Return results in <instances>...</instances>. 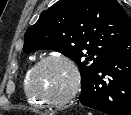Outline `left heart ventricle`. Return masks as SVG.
I'll use <instances>...</instances> for the list:
<instances>
[{
	"mask_svg": "<svg viewBox=\"0 0 131 115\" xmlns=\"http://www.w3.org/2000/svg\"><path fill=\"white\" fill-rule=\"evenodd\" d=\"M72 72L60 61H50L37 71L34 85L40 94L56 99L62 97L71 87Z\"/></svg>",
	"mask_w": 131,
	"mask_h": 115,
	"instance_id": "1",
	"label": "left heart ventricle"
}]
</instances>
